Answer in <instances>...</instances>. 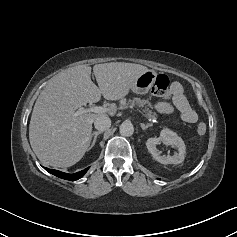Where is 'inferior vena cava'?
Wrapping results in <instances>:
<instances>
[{"instance_id":"1","label":"inferior vena cava","mask_w":237,"mask_h":237,"mask_svg":"<svg viewBox=\"0 0 237 237\" xmlns=\"http://www.w3.org/2000/svg\"><path fill=\"white\" fill-rule=\"evenodd\" d=\"M94 126L98 131H105L110 128L111 120L108 116H99L94 120Z\"/></svg>"}]
</instances>
